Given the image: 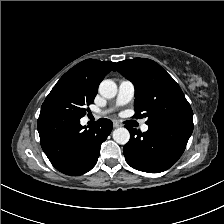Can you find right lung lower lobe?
Returning <instances> with one entry per match:
<instances>
[{
    "label": "right lung lower lobe",
    "mask_w": 224,
    "mask_h": 224,
    "mask_svg": "<svg viewBox=\"0 0 224 224\" xmlns=\"http://www.w3.org/2000/svg\"><path fill=\"white\" fill-rule=\"evenodd\" d=\"M42 149L52 165L67 175H82L91 170L99 157L100 145L109 136L113 124L101 118L94 127L86 129L80 119L44 110L38 118Z\"/></svg>",
    "instance_id": "98d812e1"
}]
</instances>
